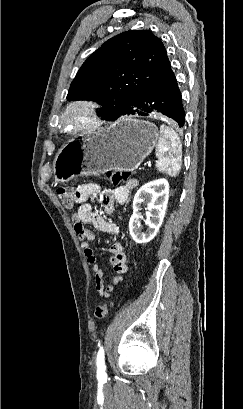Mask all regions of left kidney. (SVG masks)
I'll return each mask as SVG.
<instances>
[{
	"mask_svg": "<svg viewBox=\"0 0 243 409\" xmlns=\"http://www.w3.org/2000/svg\"><path fill=\"white\" fill-rule=\"evenodd\" d=\"M169 199V183L166 179H158L144 184L136 192L133 199V214L129 221V231L136 243L151 241L162 225ZM145 203L149 211L145 232H142L141 205Z\"/></svg>",
	"mask_w": 243,
	"mask_h": 409,
	"instance_id": "obj_1",
	"label": "left kidney"
}]
</instances>
